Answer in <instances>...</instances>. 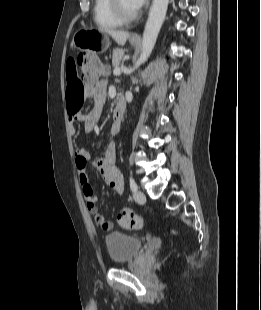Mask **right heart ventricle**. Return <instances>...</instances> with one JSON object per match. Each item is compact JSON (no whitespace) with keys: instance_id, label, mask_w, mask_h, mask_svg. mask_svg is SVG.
<instances>
[{"instance_id":"1","label":"right heart ventricle","mask_w":261,"mask_h":310,"mask_svg":"<svg viewBox=\"0 0 261 310\" xmlns=\"http://www.w3.org/2000/svg\"><path fill=\"white\" fill-rule=\"evenodd\" d=\"M93 18L95 24L101 29H114L123 24L113 14L109 0H94Z\"/></svg>"}]
</instances>
